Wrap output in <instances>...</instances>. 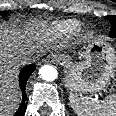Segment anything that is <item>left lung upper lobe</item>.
<instances>
[{"instance_id":"left-lung-upper-lobe-1","label":"left lung upper lobe","mask_w":116,"mask_h":116,"mask_svg":"<svg viewBox=\"0 0 116 116\" xmlns=\"http://www.w3.org/2000/svg\"><path fill=\"white\" fill-rule=\"evenodd\" d=\"M105 18L111 23V31L109 36L111 38H115L116 37V15H109V16H106Z\"/></svg>"}]
</instances>
